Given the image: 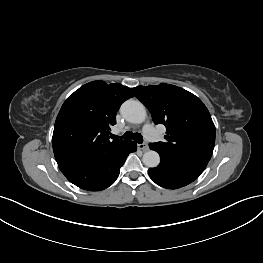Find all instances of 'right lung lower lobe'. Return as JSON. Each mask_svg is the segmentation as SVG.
I'll list each match as a JSON object with an SVG mask.
<instances>
[{
  "mask_svg": "<svg viewBox=\"0 0 263 263\" xmlns=\"http://www.w3.org/2000/svg\"><path fill=\"white\" fill-rule=\"evenodd\" d=\"M137 144L128 141L120 148L106 154L101 159L76 168L63 174L74 185L88 191H100L106 189L117 179L120 167L124 164L127 156L135 152Z\"/></svg>",
  "mask_w": 263,
  "mask_h": 263,
  "instance_id": "98d812e1",
  "label": "right lung lower lobe"
}]
</instances>
